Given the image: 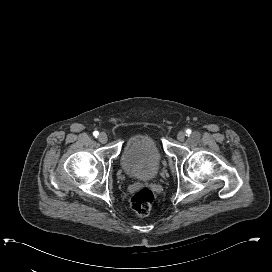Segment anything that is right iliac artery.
<instances>
[{"label": "right iliac artery", "instance_id": "obj_1", "mask_svg": "<svg viewBox=\"0 0 272 272\" xmlns=\"http://www.w3.org/2000/svg\"><path fill=\"white\" fill-rule=\"evenodd\" d=\"M93 135L97 138V136L99 135L98 131H94Z\"/></svg>", "mask_w": 272, "mask_h": 272}]
</instances>
